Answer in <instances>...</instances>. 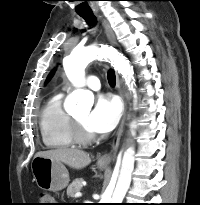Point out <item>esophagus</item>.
<instances>
[{"instance_id":"34e87169","label":"esophagus","mask_w":200,"mask_h":205,"mask_svg":"<svg viewBox=\"0 0 200 205\" xmlns=\"http://www.w3.org/2000/svg\"><path fill=\"white\" fill-rule=\"evenodd\" d=\"M98 18L103 23L108 41L112 45L116 46L117 45L116 38H115L114 32L112 31L110 25L104 19H102L100 15H98ZM116 87L118 89V93L123 102V115H122V119L118 127V130L113 138V141L111 144V151L109 153H105L98 157V163L100 164H109L112 158L116 155L118 147H119L120 139H121V136L124 130V125H125V120H126V115H127V103H126L124 90L121 86V80H120L118 73H116Z\"/></svg>"}]
</instances>
